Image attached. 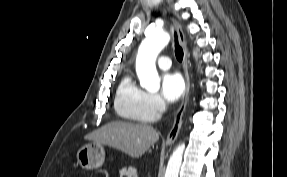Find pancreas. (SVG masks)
<instances>
[{
    "mask_svg": "<svg viewBox=\"0 0 287 177\" xmlns=\"http://www.w3.org/2000/svg\"><path fill=\"white\" fill-rule=\"evenodd\" d=\"M120 177H138L137 170L135 168H123L120 170Z\"/></svg>",
    "mask_w": 287,
    "mask_h": 177,
    "instance_id": "pancreas-1",
    "label": "pancreas"
}]
</instances>
